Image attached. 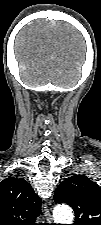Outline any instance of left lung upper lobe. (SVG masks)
I'll return each mask as SVG.
<instances>
[{
	"instance_id": "5c2ea615",
	"label": "left lung upper lobe",
	"mask_w": 101,
	"mask_h": 225,
	"mask_svg": "<svg viewBox=\"0 0 101 225\" xmlns=\"http://www.w3.org/2000/svg\"><path fill=\"white\" fill-rule=\"evenodd\" d=\"M54 200L73 208V225H101V189L88 177L74 175L64 180L57 187Z\"/></svg>"
}]
</instances>
